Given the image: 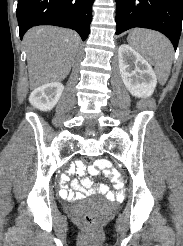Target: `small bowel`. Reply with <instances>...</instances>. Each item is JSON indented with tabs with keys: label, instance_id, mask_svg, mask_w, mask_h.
<instances>
[{
	"label": "small bowel",
	"instance_id": "small-bowel-1",
	"mask_svg": "<svg viewBox=\"0 0 183 246\" xmlns=\"http://www.w3.org/2000/svg\"><path fill=\"white\" fill-rule=\"evenodd\" d=\"M109 163L106 160H97L93 165L86 168L85 165L79 163L77 165H67V174H59V179H70V174H76V179H81L80 182L73 179L70 183L71 188L75 192L68 191V184H59L58 188L61 189L59 198H65L69 200L78 199L86 195L101 194L111 200H118L122 197V193L125 192L124 184L120 179L124 178L123 174H117V169H108ZM92 175L106 174L109 178V183L113 184V189H117V193H113L110 188L105 184L94 185L90 178L86 176V172Z\"/></svg>",
	"mask_w": 183,
	"mask_h": 246
}]
</instances>
